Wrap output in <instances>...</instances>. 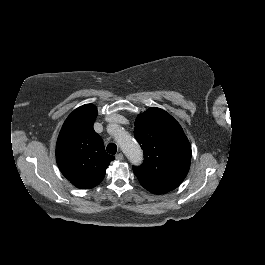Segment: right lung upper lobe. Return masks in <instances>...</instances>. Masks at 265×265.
<instances>
[{
	"instance_id": "right-lung-upper-lobe-1",
	"label": "right lung upper lobe",
	"mask_w": 265,
	"mask_h": 265,
	"mask_svg": "<svg viewBox=\"0 0 265 265\" xmlns=\"http://www.w3.org/2000/svg\"><path fill=\"white\" fill-rule=\"evenodd\" d=\"M98 115L93 104L74 110L64 122L56 145L61 173L77 188L90 189L104 178L114 156L105 152L102 138L94 131Z\"/></svg>"
}]
</instances>
